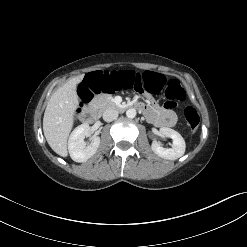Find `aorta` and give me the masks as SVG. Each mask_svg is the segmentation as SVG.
I'll return each mask as SVG.
<instances>
[{"label": "aorta", "mask_w": 247, "mask_h": 247, "mask_svg": "<svg viewBox=\"0 0 247 247\" xmlns=\"http://www.w3.org/2000/svg\"><path fill=\"white\" fill-rule=\"evenodd\" d=\"M126 116L128 118H134L136 116V110L134 108H130L126 111Z\"/></svg>", "instance_id": "1"}]
</instances>
